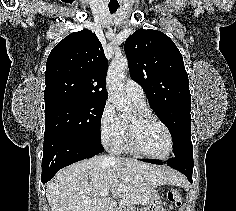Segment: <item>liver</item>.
Instances as JSON below:
<instances>
[{"instance_id": "6515ba94", "label": "liver", "mask_w": 236, "mask_h": 211, "mask_svg": "<svg viewBox=\"0 0 236 211\" xmlns=\"http://www.w3.org/2000/svg\"><path fill=\"white\" fill-rule=\"evenodd\" d=\"M182 183L172 169L101 155L59 170L46 186V197L51 211H115L116 202L101 192L118 196L127 207H143L158 186Z\"/></svg>"}]
</instances>
